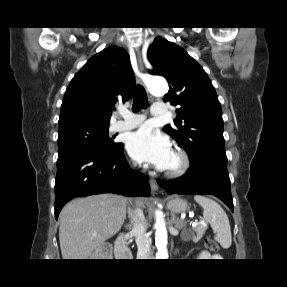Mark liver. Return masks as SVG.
Listing matches in <instances>:
<instances>
[{"instance_id":"6515ba94","label":"liver","mask_w":287,"mask_h":287,"mask_svg":"<svg viewBox=\"0 0 287 287\" xmlns=\"http://www.w3.org/2000/svg\"><path fill=\"white\" fill-rule=\"evenodd\" d=\"M126 203L124 197L115 194L69 202L60 213L59 242L63 259H87L115 235L126 218Z\"/></svg>"}]
</instances>
